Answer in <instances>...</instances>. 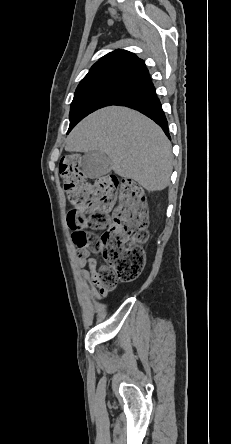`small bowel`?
<instances>
[{
	"mask_svg": "<svg viewBox=\"0 0 231 444\" xmlns=\"http://www.w3.org/2000/svg\"><path fill=\"white\" fill-rule=\"evenodd\" d=\"M73 241L80 248L78 253V265L82 268L81 274L84 280L87 282L90 293L96 301H100L108 296V292L105 291L99 283L100 270L105 265L98 266L97 261L90 257L85 249L80 244L81 234L73 232Z\"/></svg>",
	"mask_w": 231,
	"mask_h": 444,
	"instance_id": "c3829d8e",
	"label": "small bowel"
}]
</instances>
